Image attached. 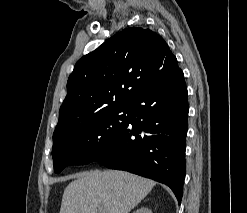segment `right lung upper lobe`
Wrapping results in <instances>:
<instances>
[{
  "label": "right lung upper lobe",
  "mask_w": 247,
  "mask_h": 213,
  "mask_svg": "<svg viewBox=\"0 0 247 213\" xmlns=\"http://www.w3.org/2000/svg\"><path fill=\"white\" fill-rule=\"evenodd\" d=\"M177 68L176 57L157 33L141 27L117 33L76 63L53 138L129 103Z\"/></svg>",
  "instance_id": "cb5924a9"
}]
</instances>
